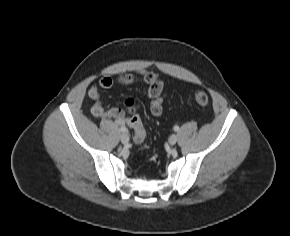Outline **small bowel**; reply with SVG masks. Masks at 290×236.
I'll list each match as a JSON object with an SVG mask.
<instances>
[{
	"mask_svg": "<svg viewBox=\"0 0 290 236\" xmlns=\"http://www.w3.org/2000/svg\"><path fill=\"white\" fill-rule=\"evenodd\" d=\"M136 81H140L148 87L147 96L150 99V112L153 116L159 117L163 112V101L165 98L163 82L154 73L147 70H138L132 74H124L117 79L119 84H131ZM114 83L115 81L110 76H103L100 78L98 85L90 87L88 97L94 102L91 111L95 117H111L120 125H124L126 122H129L125 112L120 108L106 110L100 100L99 87L109 89Z\"/></svg>",
	"mask_w": 290,
	"mask_h": 236,
	"instance_id": "obj_1",
	"label": "small bowel"
}]
</instances>
